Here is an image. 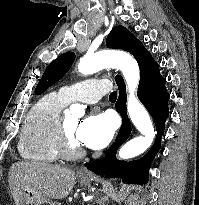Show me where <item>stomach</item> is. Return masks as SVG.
<instances>
[{
  "label": "stomach",
  "instance_id": "0dacf381",
  "mask_svg": "<svg viewBox=\"0 0 199 205\" xmlns=\"http://www.w3.org/2000/svg\"><path fill=\"white\" fill-rule=\"evenodd\" d=\"M79 182L82 185L88 186H90L92 183L90 179L84 177H80ZM23 200L26 205H54L52 201L33 188H25L23 190Z\"/></svg>",
  "mask_w": 199,
  "mask_h": 205
}]
</instances>
